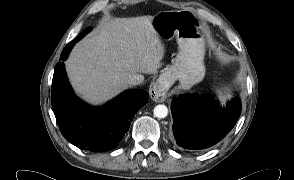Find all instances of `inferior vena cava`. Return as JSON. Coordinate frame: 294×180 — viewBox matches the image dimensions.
<instances>
[{
    "instance_id": "602c4592",
    "label": "inferior vena cava",
    "mask_w": 294,
    "mask_h": 180,
    "mask_svg": "<svg viewBox=\"0 0 294 180\" xmlns=\"http://www.w3.org/2000/svg\"><path fill=\"white\" fill-rule=\"evenodd\" d=\"M143 81L144 76L142 74L135 73L128 78L127 83L129 86H135L143 83Z\"/></svg>"
}]
</instances>
